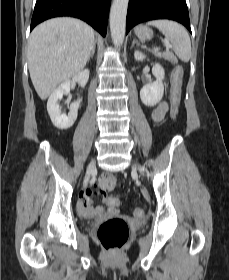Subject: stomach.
<instances>
[{"mask_svg": "<svg viewBox=\"0 0 229 280\" xmlns=\"http://www.w3.org/2000/svg\"><path fill=\"white\" fill-rule=\"evenodd\" d=\"M134 32L141 41L150 40L153 37V31L144 25L135 27Z\"/></svg>", "mask_w": 229, "mask_h": 280, "instance_id": "stomach-1", "label": "stomach"}]
</instances>
